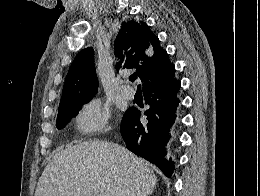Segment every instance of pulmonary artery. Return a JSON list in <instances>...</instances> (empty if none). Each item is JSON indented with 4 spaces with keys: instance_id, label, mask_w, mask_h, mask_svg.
Instances as JSON below:
<instances>
[{
    "instance_id": "obj_1",
    "label": "pulmonary artery",
    "mask_w": 260,
    "mask_h": 196,
    "mask_svg": "<svg viewBox=\"0 0 260 196\" xmlns=\"http://www.w3.org/2000/svg\"><path fill=\"white\" fill-rule=\"evenodd\" d=\"M120 94L125 99L131 100L135 96V90L130 85H126V86L121 88Z\"/></svg>"
}]
</instances>
